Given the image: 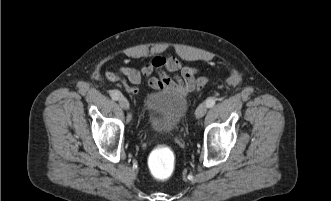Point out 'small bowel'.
<instances>
[{
  "label": "small bowel",
  "instance_id": "small-bowel-1",
  "mask_svg": "<svg viewBox=\"0 0 331 201\" xmlns=\"http://www.w3.org/2000/svg\"><path fill=\"white\" fill-rule=\"evenodd\" d=\"M170 74H174V78ZM195 75L194 68L184 66L176 57L160 55L145 63L140 70L125 65L118 72L106 73L108 80L121 81L132 95L138 93L137 86L142 82L143 77L154 90L172 88L187 94L198 84Z\"/></svg>",
  "mask_w": 331,
  "mask_h": 201
}]
</instances>
